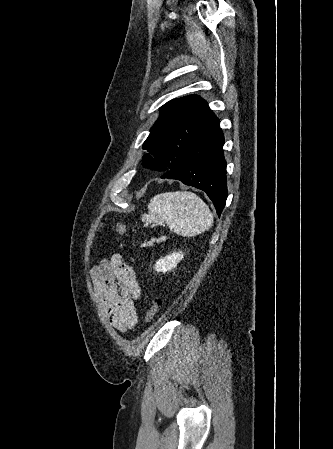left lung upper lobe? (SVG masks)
Returning <instances> with one entry per match:
<instances>
[{
  "mask_svg": "<svg viewBox=\"0 0 333 449\" xmlns=\"http://www.w3.org/2000/svg\"><path fill=\"white\" fill-rule=\"evenodd\" d=\"M160 111L143 149L155 156L153 169L167 172L183 163L212 111L208 103L197 95L171 100Z\"/></svg>",
  "mask_w": 333,
  "mask_h": 449,
  "instance_id": "left-lung-upper-lobe-1",
  "label": "left lung upper lobe"
}]
</instances>
